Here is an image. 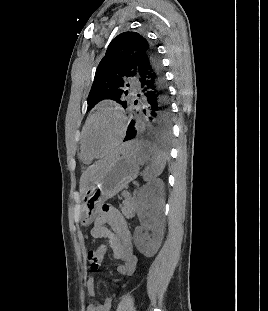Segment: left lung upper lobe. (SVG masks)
<instances>
[{
    "label": "left lung upper lobe",
    "mask_w": 268,
    "mask_h": 311,
    "mask_svg": "<svg viewBox=\"0 0 268 311\" xmlns=\"http://www.w3.org/2000/svg\"><path fill=\"white\" fill-rule=\"evenodd\" d=\"M150 44L137 32H124L109 44L100 61L87 102L91 110L99 101L111 99L124 109L129 107L125 99L128 94L127 77H136L140 63L149 59Z\"/></svg>",
    "instance_id": "5c2ea615"
}]
</instances>
